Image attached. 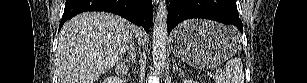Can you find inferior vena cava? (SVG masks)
I'll list each match as a JSON object with an SVG mask.
<instances>
[{
  "label": "inferior vena cava",
  "instance_id": "inferior-vena-cava-1",
  "mask_svg": "<svg viewBox=\"0 0 307 83\" xmlns=\"http://www.w3.org/2000/svg\"><path fill=\"white\" fill-rule=\"evenodd\" d=\"M133 49L132 46L130 47V50Z\"/></svg>",
  "mask_w": 307,
  "mask_h": 83
}]
</instances>
